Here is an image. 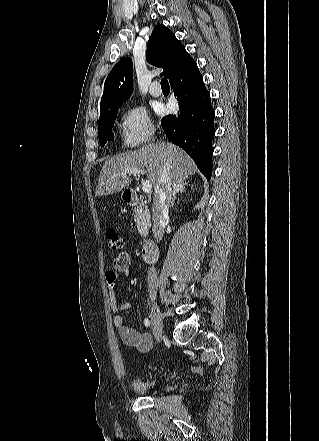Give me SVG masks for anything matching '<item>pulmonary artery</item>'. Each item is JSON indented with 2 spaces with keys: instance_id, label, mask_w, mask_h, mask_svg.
Here are the masks:
<instances>
[{
  "instance_id": "1",
  "label": "pulmonary artery",
  "mask_w": 319,
  "mask_h": 441,
  "mask_svg": "<svg viewBox=\"0 0 319 441\" xmlns=\"http://www.w3.org/2000/svg\"><path fill=\"white\" fill-rule=\"evenodd\" d=\"M150 93H151V95H153L155 97H159L162 94V90L156 84H153L150 87Z\"/></svg>"
}]
</instances>
